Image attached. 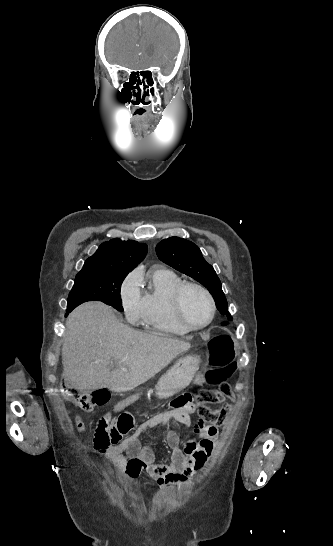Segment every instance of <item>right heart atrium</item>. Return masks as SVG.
I'll use <instances>...</instances> for the list:
<instances>
[{"label":"right heart atrium","instance_id":"d8ad5b80","mask_svg":"<svg viewBox=\"0 0 333 546\" xmlns=\"http://www.w3.org/2000/svg\"><path fill=\"white\" fill-rule=\"evenodd\" d=\"M140 275L131 272L123 281L120 289V298L126 319L135 323L142 318V298L140 292Z\"/></svg>","mask_w":333,"mask_h":546}]
</instances>
